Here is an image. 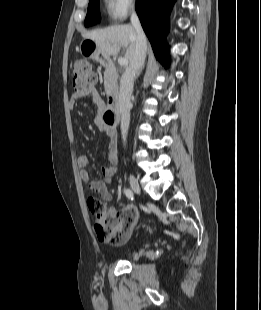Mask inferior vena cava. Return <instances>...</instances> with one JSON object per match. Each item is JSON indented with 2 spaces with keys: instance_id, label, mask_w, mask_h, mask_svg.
<instances>
[{
  "instance_id": "1",
  "label": "inferior vena cava",
  "mask_w": 261,
  "mask_h": 310,
  "mask_svg": "<svg viewBox=\"0 0 261 310\" xmlns=\"http://www.w3.org/2000/svg\"><path fill=\"white\" fill-rule=\"evenodd\" d=\"M131 24L136 31V45L133 58L129 62L120 80V91L118 97V107L121 115V133L123 141L126 142L128 128L130 124L131 95L133 91L134 78L142 69L147 51V40L142 29L140 20L135 11L131 14Z\"/></svg>"
}]
</instances>
